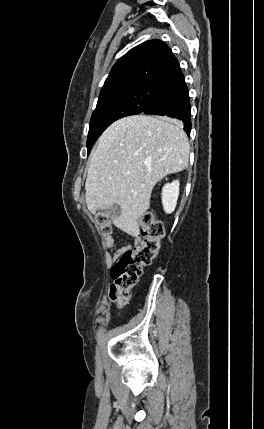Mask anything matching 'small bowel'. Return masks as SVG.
I'll list each match as a JSON object with an SVG mask.
<instances>
[{
	"instance_id": "1",
	"label": "small bowel",
	"mask_w": 264,
	"mask_h": 429,
	"mask_svg": "<svg viewBox=\"0 0 264 429\" xmlns=\"http://www.w3.org/2000/svg\"><path fill=\"white\" fill-rule=\"evenodd\" d=\"M124 231L134 238L135 245L139 244L140 238L136 230L124 229ZM101 232H102V240L105 248L113 251L112 254L107 253L106 255L108 262H113L115 259H117L120 256L121 253H123L124 251L130 248V246H126L119 249H115V239L112 234V228L109 225L102 227Z\"/></svg>"
}]
</instances>
